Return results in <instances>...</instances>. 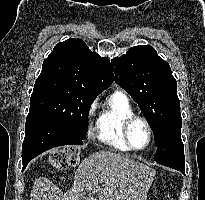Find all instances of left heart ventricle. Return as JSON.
Wrapping results in <instances>:
<instances>
[{
  "instance_id": "obj_1",
  "label": "left heart ventricle",
  "mask_w": 205,
  "mask_h": 200,
  "mask_svg": "<svg viewBox=\"0 0 205 200\" xmlns=\"http://www.w3.org/2000/svg\"><path fill=\"white\" fill-rule=\"evenodd\" d=\"M130 139L132 144L137 148H142L148 141V130L141 121H136L130 130Z\"/></svg>"
}]
</instances>
